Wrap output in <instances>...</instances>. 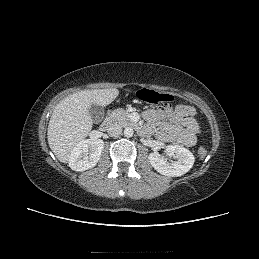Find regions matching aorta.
Wrapping results in <instances>:
<instances>
[{"instance_id":"1","label":"aorta","mask_w":259,"mask_h":259,"mask_svg":"<svg viewBox=\"0 0 259 259\" xmlns=\"http://www.w3.org/2000/svg\"><path fill=\"white\" fill-rule=\"evenodd\" d=\"M133 134H134V131L131 127L125 128V130H124V136L125 137L130 138V137L133 136Z\"/></svg>"}]
</instances>
